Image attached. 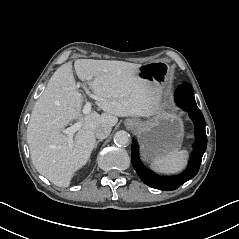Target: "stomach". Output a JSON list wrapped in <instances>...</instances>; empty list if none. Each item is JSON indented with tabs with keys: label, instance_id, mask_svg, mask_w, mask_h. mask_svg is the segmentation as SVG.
Wrapping results in <instances>:
<instances>
[{
	"label": "stomach",
	"instance_id": "stomach-1",
	"mask_svg": "<svg viewBox=\"0 0 239 239\" xmlns=\"http://www.w3.org/2000/svg\"><path fill=\"white\" fill-rule=\"evenodd\" d=\"M141 76L161 84L166 80L165 72L148 68L141 69ZM136 130L143 155L148 161H155L171 152H177L180 148L183 127L174 111H158L151 120L139 122Z\"/></svg>",
	"mask_w": 239,
	"mask_h": 239
}]
</instances>
